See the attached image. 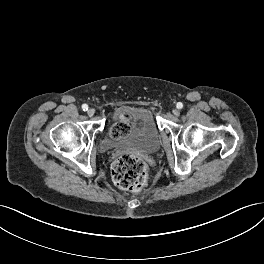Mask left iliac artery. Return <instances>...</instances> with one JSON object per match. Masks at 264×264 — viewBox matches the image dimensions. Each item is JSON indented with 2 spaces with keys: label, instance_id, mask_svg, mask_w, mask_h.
<instances>
[{
  "label": "left iliac artery",
  "instance_id": "left-iliac-artery-1",
  "mask_svg": "<svg viewBox=\"0 0 264 264\" xmlns=\"http://www.w3.org/2000/svg\"><path fill=\"white\" fill-rule=\"evenodd\" d=\"M176 107L178 109H182L183 108V104L181 102H178L177 105H176Z\"/></svg>",
  "mask_w": 264,
  "mask_h": 264
}]
</instances>
